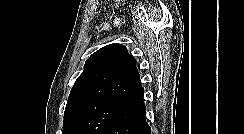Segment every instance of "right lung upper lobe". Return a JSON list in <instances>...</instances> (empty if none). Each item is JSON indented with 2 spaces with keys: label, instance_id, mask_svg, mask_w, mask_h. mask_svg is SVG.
<instances>
[{
  "label": "right lung upper lobe",
  "instance_id": "obj_1",
  "mask_svg": "<svg viewBox=\"0 0 244 134\" xmlns=\"http://www.w3.org/2000/svg\"><path fill=\"white\" fill-rule=\"evenodd\" d=\"M136 60L125 46L110 44L97 50L86 61L84 71L71 89L64 117L83 102L102 98L134 101L143 96Z\"/></svg>",
  "mask_w": 244,
  "mask_h": 134
}]
</instances>
